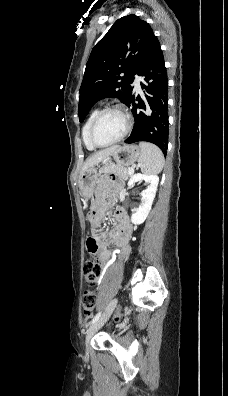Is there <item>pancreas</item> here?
I'll return each mask as SVG.
<instances>
[{
  "label": "pancreas",
  "mask_w": 228,
  "mask_h": 396,
  "mask_svg": "<svg viewBox=\"0 0 228 396\" xmlns=\"http://www.w3.org/2000/svg\"><path fill=\"white\" fill-rule=\"evenodd\" d=\"M102 173L116 174L121 178H123L124 180H127L128 177L131 176L132 174L129 172V168L118 164H109L108 166L102 169Z\"/></svg>",
  "instance_id": "cf45deb5"
}]
</instances>
